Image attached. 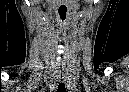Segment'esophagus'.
<instances>
[{
  "instance_id": "34e87169",
  "label": "esophagus",
  "mask_w": 129,
  "mask_h": 92,
  "mask_svg": "<svg viewBox=\"0 0 129 92\" xmlns=\"http://www.w3.org/2000/svg\"><path fill=\"white\" fill-rule=\"evenodd\" d=\"M64 78H65V76H64L63 74H60V75H59V80H60V81H63Z\"/></svg>"
}]
</instances>
